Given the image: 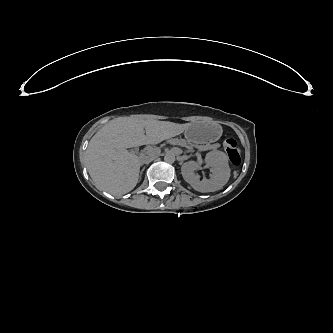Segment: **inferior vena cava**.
<instances>
[{
	"instance_id": "602c4592",
	"label": "inferior vena cava",
	"mask_w": 333,
	"mask_h": 333,
	"mask_svg": "<svg viewBox=\"0 0 333 333\" xmlns=\"http://www.w3.org/2000/svg\"><path fill=\"white\" fill-rule=\"evenodd\" d=\"M155 157H156V155H153V156L149 157L148 159H145V160L143 161V163L148 164V163H150Z\"/></svg>"
}]
</instances>
